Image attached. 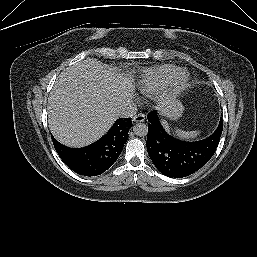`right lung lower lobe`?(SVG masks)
<instances>
[{"mask_svg": "<svg viewBox=\"0 0 257 257\" xmlns=\"http://www.w3.org/2000/svg\"><path fill=\"white\" fill-rule=\"evenodd\" d=\"M131 127V118H120L102 139L83 148L64 146L53 136L52 141L58 155L71 170L80 175L97 176L117 160Z\"/></svg>", "mask_w": 257, "mask_h": 257, "instance_id": "1", "label": "right lung lower lobe"}]
</instances>
